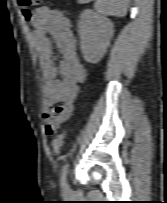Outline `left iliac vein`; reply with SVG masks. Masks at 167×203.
Instances as JSON below:
<instances>
[{"mask_svg": "<svg viewBox=\"0 0 167 203\" xmlns=\"http://www.w3.org/2000/svg\"><path fill=\"white\" fill-rule=\"evenodd\" d=\"M63 191H64L65 194L70 193V187H69L67 182L64 185Z\"/></svg>", "mask_w": 167, "mask_h": 203, "instance_id": "4c4485c4", "label": "left iliac vein"}]
</instances>
